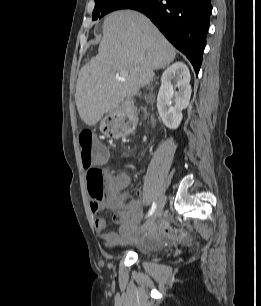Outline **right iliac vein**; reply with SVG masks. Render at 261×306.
<instances>
[{
    "mask_svg": "<svg viewBox=\"0 0 261 306\" xmlns=\"http://www.w3.org/2000/svg\"><path fill=\"white\" fill-rule=\"evenodd\" d=\"M165 196L161 195L157 201L156 209L152 215V217L144 224V226L141 228V230H145L153 221L162 213V210L165 205Z\"/></svg>",
    "mask_w": 261,
    "mask_h": 306,
    "instance_id": "obj_1",
    "label": "right iliac vein"
}]
</instances>
